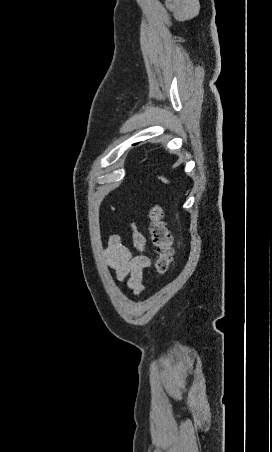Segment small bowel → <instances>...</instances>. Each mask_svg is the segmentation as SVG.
I'll return each mask as SVG.
<instances>
[{
  "instance_id": "c3829d8e",
  "label": "small bowel",
  "mask_w": 272,
  "mask_h": 452,
  "mask_svg": "<svg viewBox=\"0 0 272 452\" xmlns=\"http://www.w3.org/2000/svg\"><path fill=\"white\" fill-rule=\"evenodd\" d=\"M133 244L138 254L133 255L131 250L122 242L119 235L109 237L107 246L103 251V258L118 281H127L128 290L138 294L143 289V276L150 266V258L145 253V239L132 225Z\"/></svg>"
}]
</instances>
